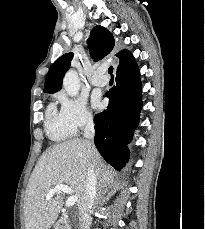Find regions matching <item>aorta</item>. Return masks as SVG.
<instances>
[{
  "mask_svg": "<svg viewBox=\"0 0 205 229\" xmlns=\"http://www.w3.org/2000/svg\"><path fill=\"white\" fill-rule=\"evenodd\" d=\"M63 87L71 97L78 95L80 91V80L75 70H69L63 78Z\"/></svg>",
  "mask_w": 205,
  "mask_h": 229,
  "instance_id": "1",
  "label": "aorta"
}]
</instances>
